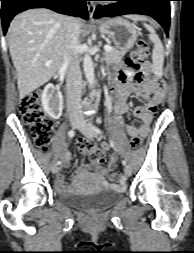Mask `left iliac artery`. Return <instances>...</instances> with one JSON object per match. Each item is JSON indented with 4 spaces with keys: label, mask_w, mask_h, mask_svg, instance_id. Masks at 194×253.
<instances>
[{
    "label": "left iliac artery",
    "mask_w": 194,
    "mask_h": 253,
    "mask_svg": "<svg viewBox=\"0 0 194 253\" xmlns=\"http://www.w3.org/2000/svg\"><path fill=\"white\" fill-rule=\"evenodd\" d=\"M90 125H91V127L93 128V130H94L97 134H102V131H101L99 128H97L96 126H94V125H92V124H90ZM122 164H123L124 166H126V161L123 160V161H122Z\"/></svg>",
    "instance_id": "obj_1"
}]
</instances>
